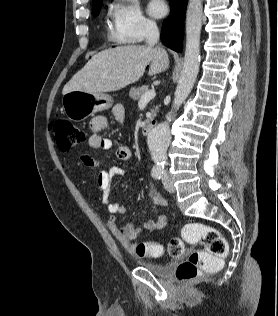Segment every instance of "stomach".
I'll use <instances>...</instances> for the list:
<instances>
[{
  "label": "stomach",
  "instance_id": "0dacf381",
  "mask_svg": "<svg viewBox=\"0 0 278 316\" xmlns=\"http://www.w3.org/2000/svg\"><path fill=\"white\" fill-rule=\"evenodd\" d=\"M112 104V97L103 93L71 91L62 98V110L72 121L84 120L96 112L111 108Z\"/></svg>",
  "mask_w": 278,
  "mask_h": 316
}]
</instances>
